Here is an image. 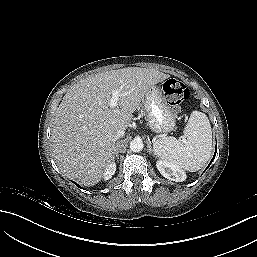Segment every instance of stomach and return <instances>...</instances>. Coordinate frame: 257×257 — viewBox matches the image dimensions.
<instances>
[{
    "label": "stomach",
    "mask_w": 257,
    "mask_h": 257,
    "mask_svg": "<svg viewBox=\"0 0 257 257\" xmlns=\"http://www.w3.org/2000/svg\"><path fill=\"white\" fill-rule=\"evenodd\" d=\"M142 102L147 125L154 133L166 134L174 129L176 118L160 87L152 86Z\"/></svg>",
    "instance_id": "obj_1"
}]
</instances>
